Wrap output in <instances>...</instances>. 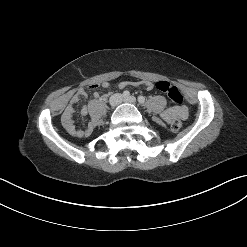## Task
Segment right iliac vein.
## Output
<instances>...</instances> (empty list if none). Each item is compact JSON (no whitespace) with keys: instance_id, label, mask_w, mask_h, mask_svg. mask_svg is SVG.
Returning a JSON list of instances; mask_svg holds the SVG:
<instances>
[{"instance_id":"right-iliac-vein-1","label":"right iliac vein","mask_w":247,"mask_h":247,"mask_svg":"<svg viewBox=\"0 0 247 247\" xmlns=\"http://www.w3.org/2000/svg\"><path fill=\"white\" fill-rule=\"evenodd\" d=\"M121 99L122 96L119 93H116L110 97L109 104L111 107H116L120 103Z\"/></svg>"}]
</instances>
